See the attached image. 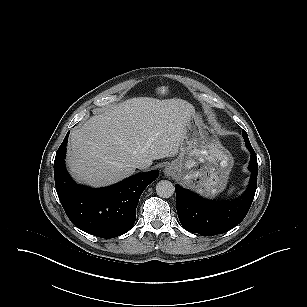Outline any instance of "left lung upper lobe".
Wrapping results in <instances>:
<instances>
[{
  "mask_svg": "<svg viewBox=\"0 0 307 307\" xmlns=\"http://www.w3.org/2000/svg\"><path fill=\"white\" fill-rule=\"evenodd\" d=\"M242 135H243V138H244L245 144L251 145V144H250V142H249V139H248L247 133H246L244 130H243V132H242Z\"/></svg>",
  "mask_w": 307,
  "mask_h": 307,
  "instance_id": "5c2ea615",
  "label": "left lung upper lobe"
}]
</instances>
